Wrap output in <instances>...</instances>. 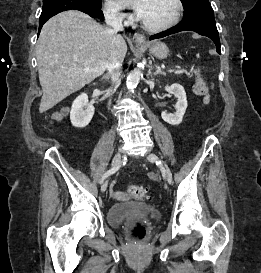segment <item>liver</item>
I'll return each instance as SVG.
<instances>
[{"label": "liver", "mask_w": 261, "mask_h": 273, "mask_svg": "<svg viewBox=\"0 0 261 273\" xmlns=\"http://www.w3.org/2000/svg\"><path fill=\"white\" fill-rule=\"evenodd\" d=\"M124 59L127 44L113 29L103 27L87 14L69 10L50 18L42 27L36 46L44 113L101 76L112 51ZM89 71H85V68Z\"/></svg>", "instance_id": "1"}]
</instances>
